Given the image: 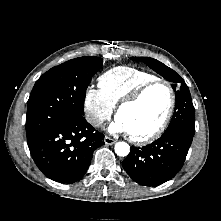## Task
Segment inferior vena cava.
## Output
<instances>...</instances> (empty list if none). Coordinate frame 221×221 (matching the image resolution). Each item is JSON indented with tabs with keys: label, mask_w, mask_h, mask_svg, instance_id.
I'll return each instance as SVG.
<instances>
[{
	"label": "inferior vena cava",
	"mask_w": 221,
	"mask_h": 221,
	"mask_svg": "<svg viewBox=\"0 0 221 221\" xmlns=\"http://www.w3.org/2000/svg\"><path fill=\"white\" fill-rule=\"evenodd\" d=\"M90 122L93 126L95 127H99L102 125L103 121L101 119H98V118H91L90 119Z\"/></svg>",
	"instance_id": "1"
}]
</instances>
